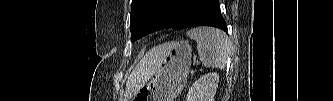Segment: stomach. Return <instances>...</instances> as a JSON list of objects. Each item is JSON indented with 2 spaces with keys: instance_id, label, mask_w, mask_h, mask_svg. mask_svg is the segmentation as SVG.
I'll return each instance as SVG.
<instances>
[{
  "instance_id": "0dacf381",
  "label": "stomach",
  "mask_w": 333,
  "mask_h": 101,
  "mask_svg": "<svg viewBox=\"0 0 333 101\" xmlns=\"http://www.w3.org/2000/svg\"><path fill=\"white\" fill-rule=\"evenodd\" d=\"M162 59L151 81L130 101H174L187 81L192 49L187 41L165 43Z\"/></svg>"
}]
</instances>
